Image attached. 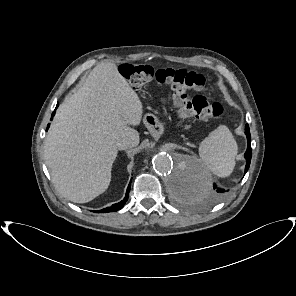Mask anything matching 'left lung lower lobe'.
<instances>
[{
    "instance_id": "0a47b994",
    "label": "left lung lower lobe",
    "mask_w": 296,
    "mask_h": 296,
    "mask_svg": "<svg viewBox=\"0 0 296 296\" xmlns=\"http://www.w3.org/2000/svg\"><path fill=\"white\" fill-rule=\"evenodd\" d=\"M245 134L247 135V140H248V147L245 152V159H246V167H245V173L248 171L249 166H250V161H251V156H252V149H251V135L249 131V126L248 124L245 127ZM214 188H216V185H214ZM183 189V188H182ZM181 190V189H180ZM180 190L177 191V193H180ZM217 192H224L222 189H217Z\"/></svg>"
}]
</instances>
